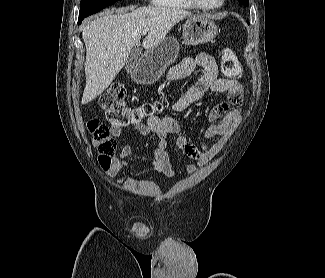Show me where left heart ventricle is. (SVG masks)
<instances>
[{
  "mask_svg": "<svg viewBox=\"0 0 325 278\" xmlns=\"http://www.w3.org/2000/svg\"><path fill=\"white\" fill-rule=\"evenodd\" d=\"M201 4L206 6H213L220 2V0H198Z\"/></svg>",
  "mask_w": 325,
  "mask_h": 278,
  "instance_id": "obj_1",
  "label": "left heart ventricle"
}]
</instances>
